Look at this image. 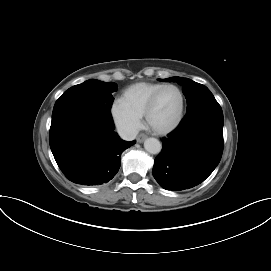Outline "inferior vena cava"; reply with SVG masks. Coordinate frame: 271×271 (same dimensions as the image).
<instances>
[{
  "label": "inferior vena cava",
  "instance_id": "602c4592",
  "mask_svg": "<svg viewBox=\"0 0 271 271\" xmlns=\"http://www.w3.org/2000/svg\"><path fill=\"white\" fill-rule=\"evenodd\" d=\"M119 136L126 141H132L136 138L138 131L133 128H122L118 130Z\"/></svg>",
  "mask_w": 271,
  "mask_h": 271
}]
</instances>
